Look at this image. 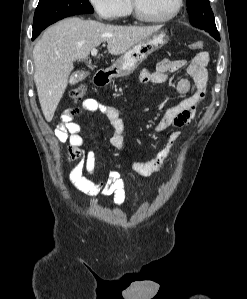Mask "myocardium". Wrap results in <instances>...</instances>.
<instances>
[{"mask_svg": "<svg viewBox=\"0 0 247 299\" xmlns=\"http://www.w3.org/2000/svg\"><path fill=\"white\" fill-rule=\"evenodd\" d=\"M130 2L134 16L137 19L148 23H165L171 21L180 13L183 6V0H176L175 8L169 15L164 17H151L143 12L139 0H130Z\"/></svg>", "mask_w": 247, "mask_h": 299, "instance_id": "obj_1", "label": "myocardium"}]
</instances>
